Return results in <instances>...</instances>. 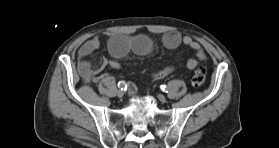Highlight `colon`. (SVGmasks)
Here are the masks:
<instances>
[{"mask_svg":"<svg viewBox=\"0 0 279 148\" xmlns=\"http://www.w3.org/2000/svg\"><path fill=\"white\" fill-rule=\"evenodd\" d=\"M207 75L205 66H199L193 73L191 83L194 87H200L204 84Z\"/></svg>","mask_w":279,"mask_h":148,"instance_id":"colon-1","label":"colon"}]
</instances>
